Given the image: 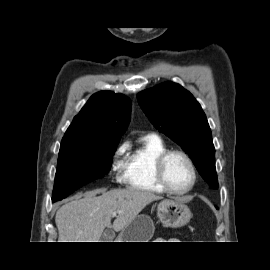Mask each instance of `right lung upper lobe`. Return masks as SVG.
Masks as SVG:
<instances>
[{
    "mask_svg": "<svg viewBox=\"0 0 270 270\" xmlns=\"http://www.w3.org/2000/svg\"><path fill=\"white\" fill-rule=\"evenodd\" d=\"M131 101L122 94H94L76 115L62 141L111 143L120 140L130 121Z\"/></svg>",
    "mask_w": 270,
    "mask_h": 270,
    "instance_id": "cb5924a9",
    "label": "right lung upper lobe"
}]
</instances>
